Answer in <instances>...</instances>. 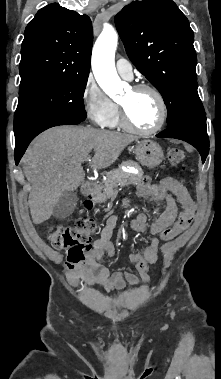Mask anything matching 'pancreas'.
I'll return each instance as SVG.
<instances>
[{"mask_svg": "<svg viewBox=\"0 0 221 379\" xmlns=\"http://www.w3.org/2000/svg\"><path fill=\"white\" fill-rule=\"evenodd\" d=\"M125 166H132L138 170L137 174L128 173L121 168L114 169L106 174V178L102 180L99 187L98 195L100 199L105 200L112 196L119 186H126L136 183L143 176V171L140 165L133 161L128 160L123 163ZM103 190V192H102Z\"/></svg>", "mask_w": 221, "mask_h": 379, "instance_id": "obj_1", "label": "pancreas"}]
</instances>
